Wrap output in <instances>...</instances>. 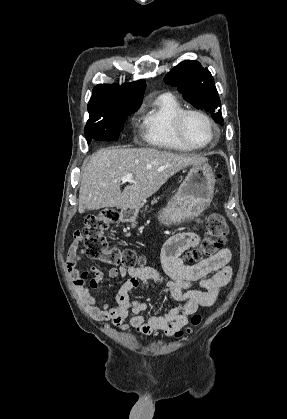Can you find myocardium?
Returning <instances> with one entry per match:
<instances>
[{
  "instance_id": "f54148a6",
  "label": "myocardium",
  "mask_w": 287,
  "mask_h": 419,
  "mask_svg": "<svg viewBox=\"0 0 287 419\" xmlns=\"http://www.w3.org/2000/svg\"><path fill=\"white\" fill-rule=\"evenodd\" d=\"M190 115L198 116L206 122L211 131V139L208 142L204 144H195L187 139L183 128L186 118ZM174 129L179 140L192 149H204L211 146L218 139L217 128L213 121L204 112L196 109H183L181 112H179L174 119Z\"/></svg>"
}]
</instances>
